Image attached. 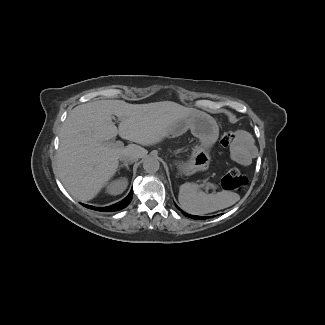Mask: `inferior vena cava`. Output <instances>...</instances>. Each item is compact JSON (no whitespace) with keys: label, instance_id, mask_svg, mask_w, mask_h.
<instances>
[{"label":"inferior vena cava","instance_id":"obj_1","mask_svg":"<svg viewBox=\"0 0 325 325\" xmlns=\"http://www.w3.org/2000/svg\"><path fill=\"white\" fill-rule=\"evenodd\" d=\"M139 158V155L136 153V152H129V151H126L124 152L120 157L119 159L121 161H124L125 163H133L135 161H137Z\"/></svg>","mask_w":325,"mask_h":325}]
</instances>
